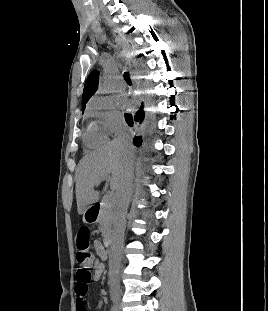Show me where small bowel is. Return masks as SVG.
Segmentation results:
<instances>
[{"instance_id": "c3829d8e", "label": "small bowel", "mask_w": 268, "mask_h": 311, "mask_svg": "<svg viewBox=\"0 0 268 311\" xmlns=\"http://www.w3.org/2000/svg\"><path fill=\"white\" fill-rule=\"evenodd\" d=\"M94 249L96 256L93 258L90 268L92 269V280L97 282L105 273V261L107 259V251L103 245L98 241H94ZM85 295H82L78 291V284L75 285V297H76V311H87L83 302Z\"/></svg>"}]
</instances>
